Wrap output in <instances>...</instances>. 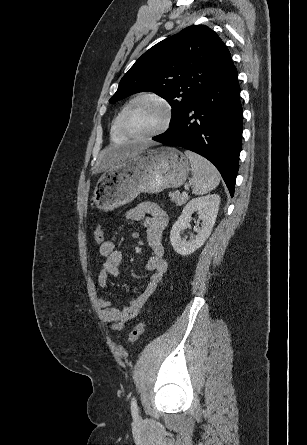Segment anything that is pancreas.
I'll return each mask as SVG.
<instances>
[{
  "label": "pancreas",
  "instance_id": "1",
  "mask_svg": "<svg viewBox=\"0 0 307 445\" xmlns=\"http://www.w3.org/2000/svg\"><path fill=\"white\" fill-rule=\"evenodd\" d=\"M169 196L170 200H172V202H175L177 206H181V204H185V202L189 200V196H184V194H181L179 190H175V192H170Z\"/></svg>",
  "mask_w": 307,
  "mask_h": 445
}]
</instances>
